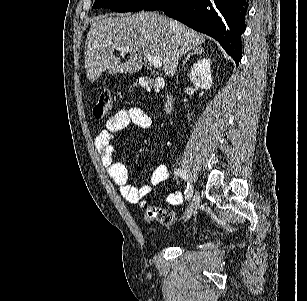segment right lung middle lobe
Masks as SVG:
<instances>
[{
    "mask_svg": "<svg viewBox=\"0 0 307 301\" xmlns=\"http://www.w3.org/2000/svg\"><path fill=\"white\" fill-rule=\"evenodd\" d=\"M157 0H96L93 8H109L116 12H136L145 10Z\"/></svg>",
    "mask_w": 307,
    "mask_h": 301,
    "instance_id": "1",
    "label": "right lung middle lobe"
}]
</instances>
